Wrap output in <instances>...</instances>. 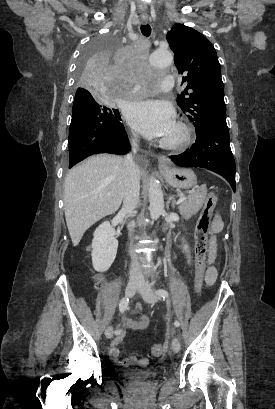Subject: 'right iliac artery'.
Listing matches in <instances>:
<instances>
[{"label": "right iliac artery", "mask_w": 275, "mask_h": 409, "mask_svg": "<svg viewBox=\"0 0 275 409\" xmlns=\"http://www.w3.org/2000/svg\"><path fill=\"white\" fill-rule=\"evenodd\" d=\"M128 303H129L128 297H124L121 299L120 304H119V310L121 313H124L128 309ZM115 333H120V330L116 331Z\"/></svg>", "instance_id": "right-iliac-artery-1"}]
</instances>
